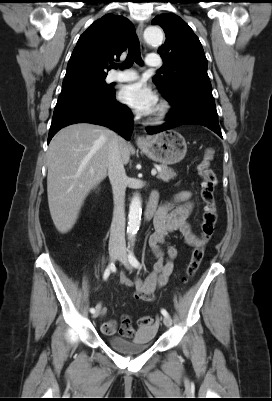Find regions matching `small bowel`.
Masks as SVG:
<instances>
[{"label": "small bowel", "mask_w": 272, "mask_h": 401, "mask_svg": "<svg viewBox=\"0 0 272 401\" xmlns=\"http://www.w3.org/2000/svg\"><path fill=\"white\" fill-rule=\"evenodd\" d=\"M156 194V193H153ZM193 209L191 193L188 191L180 192L173 200L165 202L156 211L154 216L155 232L149 238L157 262L154 264L153 271L143 281L141 279L131 280L124 272L120 274V284L124 287H135L132 296L134 300L151 302L154 300L155 292L164 286L169 279L174 267V260L177 258V249L167 244V237L172 233L183 235L187 245L195 246L199 242L198 236L193 232L188 218ZM165 246V250L162 247ZM99 311L104 308L97 306ZM103 332L106 335L119 333L124 338H135L146 330H155L153 324H139L138 328L133 327L131 318L124 315L118 327L116 320H107L103 323Z\"/></svg>", "instance_id": "obj_1"}]
</instances>
